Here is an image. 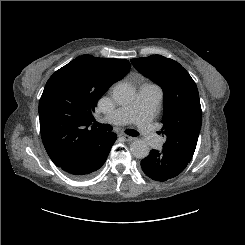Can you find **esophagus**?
Returning a JSON list of instances; mask_svg holds the SVG:
<instances>
[{"label": "esophagus", "instance_id": "34e87169", "mask_svg": "<svg viewBox=\"0 0 245 245\" xmlns=\"http://www.w3.org/2000/svg\"><path fill=\"white\" fill-rule=\"evenodd\" d=\"M118 136L120 138H122L123 140H125V141H131V140H133V137H131V136L125 134V133H119Z\"/></svg>", "mask_w": 245, "mask_h": 245}]
</instances>
